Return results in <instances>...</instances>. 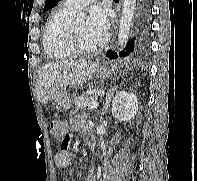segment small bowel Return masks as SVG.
Segmentation results:
<instances>
[{
  "instance_id": "c3829d8e",
  "label": "small bowel",
  "mask_w": 197,
  "mask_h": 181,
  "mask_svg": "<svg viewBox=\"0 0 197 181\" xmlns=\"http://www.w3.org/2000/svg\"><path fill=\"white\" fill-rule=\"evenodd\" d=\"M61 125H62L61 135H66L69 128L71 130H78L82 128L85 137L91 133L90 130L85 126V120L82 116H77L72 118L69 126L63 123H61ZM65 138L67 140V143L69 144L70 142L69 136H66ZM54 161L59 168L63 169L67 174H70L71 159L67 149H60L55 154ZM87 181H96V175L94 171L91 170L89 172L87 176Z\"/></svg>"
}]
</instances>
